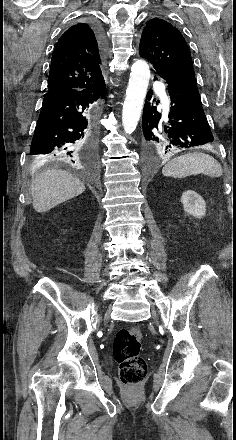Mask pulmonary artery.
I'll list each match as a JSON object with an SVG mask.
<instances>
[{
  "instance_id": "pulmonary-artery-1",
  "label": "pulmonary artery",
  "mask_w": 236,
  "mask_h": 440,
  "mask_svg": "<svg viewBox=\"0 0 236 440\" xmlns=\"http://www.w3.org/2000/svg\"><path fill=\"white\" fill-rule=\"evenodd\" d=\"M157 90L164 94L165 93V86L162 83H159L157 86ZM164 102H165V104L168 103L166 98H164Z\"/></svg>"
}]
</instances>
